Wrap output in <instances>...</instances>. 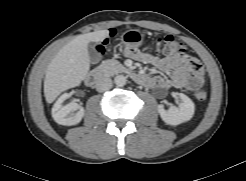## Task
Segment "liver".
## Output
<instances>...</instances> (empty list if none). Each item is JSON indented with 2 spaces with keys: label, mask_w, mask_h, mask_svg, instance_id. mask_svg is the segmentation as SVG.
<instances>
[{
  "label": "liver",
  "mask_w": 246,
  "mask_h": 181,
  "mask_svg": "<svg viewBox=\"0 0 246 181\" xmlns=\"http://www.w3.org/2000/svg\"><path fill=\"white\" fill-rule=\"evenodd\" d=\"M108 30L82 34L63 46L49 63L44 79V96L52 103L63 91L77 87L90 68L88 44L101 42Z\"/></svg>",
  "instance_id": "liver-1"
}]
</instances>
